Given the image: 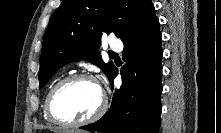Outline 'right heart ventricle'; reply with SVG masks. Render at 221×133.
I'll list each match as a JSON object with an SVG mask.
<instances>
[{
	"mask_svg": "<svg viewBox=\"0 0 221 133\" xmlns=\"http://www.w3.org/2000/svg\"><path fill=\"white\" fill-rule=\"evenodd\" d=\"M43 112H44V118H45L46 120H48L47 115H46V113H45V107L43 108Z\"/></svg>",
	"mask_w": 221,
	"mask_h": 133,
	"instance_id": "right-heart-ventricle-1",
	"label": "right heart ventricle"
}]
</instances>
